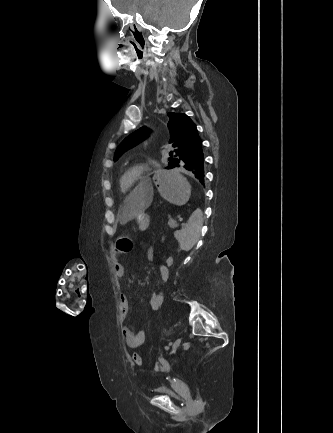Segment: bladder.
I'll list each match as a JSON object with an SVG mask.
<instances>
[{
	"mask_svg": "<svg viewBox=\"0 0 333 433\" xmlns=\"http://www.w3.org/2000/svg\"><path fill=\"white\" fill-rule=\"evenodd\" d=\"M155 392L161 396L168 397L175 401H181L183 399V397L180 394L176 393L170 387L164 384L156 386Z\"/></svg>",
	"mask_w": 333,
	"mask_h": 433,
	"instance_id": "31cf9c89",
	"label": "bladder"
}]
</instances>
